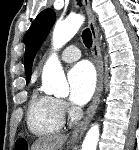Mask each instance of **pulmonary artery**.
<instances>
[{
	"instance_id": "pulmonary-artery-1",
	"label": "pulmonary artery",
	"mask_w": 139,
	"mask_h": 150,
	"mask_svg": "<svg viewBox=\"0 0 139 150\" xmlns=\"http://www.w3.org/2000/svg\"><path fill=\"white\" fill-rule=\"evenodd\" d=\"M81 57V52L78 47L71 45L66 47L61 53V59L64 62H74Z\"/></svg>"
}]
</instances>
